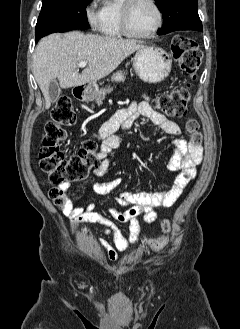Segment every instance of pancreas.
<instances>
[{"instance_id":"1","label":"pancreas","mask_w":240,"mask_h":329,"mask_svg":"<svg viewBox=\"0 0 240 329\" xmlns=\"http://www.w3.org/2000/svg\"><path fill=\"white\" fill-rule=\"evenodd\" d=\"M113 91L112 87H105L100 89L95 97V101L98 105H101L103 100L105 99V96Z\"/></svg>"}]
</instances>
